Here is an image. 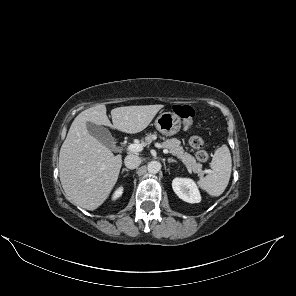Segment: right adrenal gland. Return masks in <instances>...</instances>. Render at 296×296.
Wrapping results in <instances>:
<instances>
[{
    "instance_id": "1",
    "label": "right adrenal gland",
    "mask_w": 296,
    "mask_h": 296,
    "mask_svg": "<svg viewBox=\"0 0 296 296\" xmlns=\"http://www.w3.org/2000/svg\"><path fill=\"white\" fill-rule=\"evenodd\" d=\"M125 171H126V172H129V169H127V168H123L121 173L123 174Z\"/></svg>"
}]
</instances>
